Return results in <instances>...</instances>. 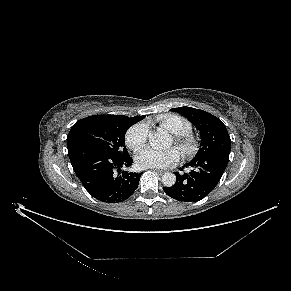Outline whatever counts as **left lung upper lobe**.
<instances>
[{"label":"left lung upper lobe","mask_w":291,"mask_h":291,"mask_svg":"<svg viewBox=\"0 0 291 291\" xmlns=\"http://www.w3.org/2000/svg\"><path fill=\"white\" fill-rule=\"evenodd\" d=\"M171 110L186 117L200 131V149L192 161L207 158L216 153H230V136L220 119L206 111L192 107H179Z\"/></svg>","instance_id":"left-lung-upper-lobe-1"}]
</instances>
